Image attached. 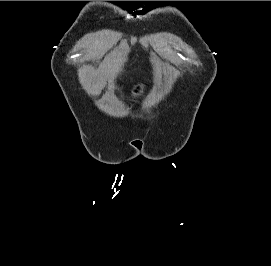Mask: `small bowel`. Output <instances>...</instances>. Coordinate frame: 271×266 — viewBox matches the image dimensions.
I'll use <instances>...</instances> for the list:
<instances>
[{"mask_svg": "<svg viewBox=\"0 0 271 266\" xmlns=\"http://www.w3.org/2000/svg\"><path fill=\"white\" fill-rule=\"evenodd\" d=\"M136 95L140 93V89H136L134 92Z\"/></svg>", "mask_w": 271, "mask_h": 266, "instance_id": "small-bowel-1", "label": "small bowel"}]
</instances>
